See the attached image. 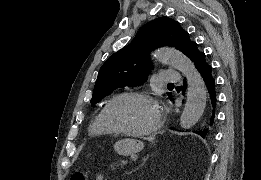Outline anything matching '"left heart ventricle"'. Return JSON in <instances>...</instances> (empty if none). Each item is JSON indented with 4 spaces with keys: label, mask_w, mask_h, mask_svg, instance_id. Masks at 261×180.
<instances>
[{
    "label": "left heart ventricle",
    "mask_w": 261,
    "mask_h": 180,
    "mask_svg": "<svg viewBox=\"0 0 261 180\" xmlns=\"http://www.w3.org/2000/svg\"><path fill=\"white\" fill-rule=\"evenodd\" d=\"M156 115L155 104L141 97H125L107 111L113 127L124 134H144L151 130Z\"/></svg>",
    "instance_id": "1"
}]
</instances>
